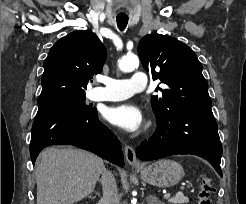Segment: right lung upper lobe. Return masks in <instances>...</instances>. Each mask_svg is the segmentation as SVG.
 <instances>
[{"instance_id": "cb5924a9", "label": "right lung upper lobe", "mask_w": 246, "mask_h": 204, "mask_svg": "<svg viewBox=\"0 0 246 204\" xmlns=\"http://www.w3.org/2000/svg\"><path fill=\"white\" fill-rule=\"evenodd\" d=\"M106 56V48L91 31H74L58 40L44 61L38 101L85 92L88 81L101 72Z\"/></svg>"}]
</instances>
